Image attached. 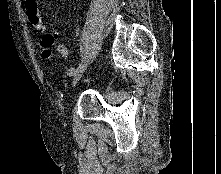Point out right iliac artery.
<instances>
[{
    "label": "right iliac artery",
    "instance_id": "right-iliac-artery-1",
    "mask_svg": "<svg viewBox=\"0 0 221 174\" xmlns=\"http://www.w3.org/2000/svg\"><path fill=\"white\" fill-rule=\"evenodd\" d=\"M75 71H76V70H75L74 68H69L68 71H67V74H68L69 76H72V75H74Z\"/></svg>",
    "mask_w": 221,
    "mask_h": 174
}]
</instances>
